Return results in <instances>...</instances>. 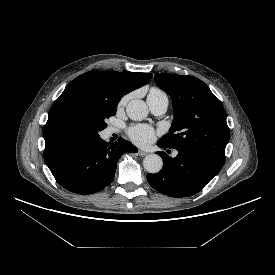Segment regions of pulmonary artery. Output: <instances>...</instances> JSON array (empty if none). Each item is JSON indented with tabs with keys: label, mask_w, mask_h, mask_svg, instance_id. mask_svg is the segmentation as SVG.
I'll return each instance as SVG.
<instances>
[{
	"label": "pulmonary artery",
	"mask_w": 275,
	"mask_h": 275,
	"mask_svg": "<svg viewBox=\"0 0 275 275\" xmlns=\"http://www.w3.org/2000/svg\"><path fill=\"white\" fill-rule=\"evenodd\" d=\"M147 103L151 112L155 115H161L166 112L168 107L167 97H147ZM115 132V129H109V133Z\"/></svg>",
	"instance_id": "1"
}]
</instances>
